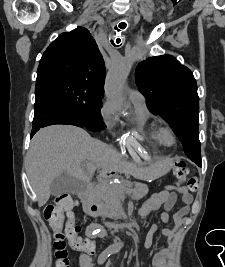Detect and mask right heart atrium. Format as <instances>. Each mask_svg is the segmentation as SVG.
Returning <instances> with one entry per match:
<instances>
[{
    "mask_svg": "<svg viewBox=\"0 0 225 267\" xmlns=\"http://www.w3.org/2000/svg\"><path fill=\"white\" fill-rule=\"evenodd\" d=\"M100 113L106 126L111 129L117 119L116 105L111 100H106L101 107Z\"/></svg>",
    "mask_w": 225,
    "mask_h": 267,
    "instance_id": "d8ad5b80",
    "label": "right heart atrium"
}]
</instances>
